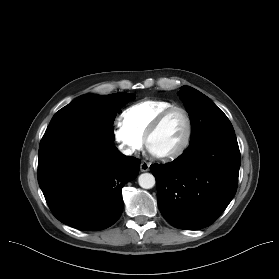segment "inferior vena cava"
<instances>
[{"label": "inferior vena cava", "instance_id": "obj_1", "mask_svg": "<svg viewBox=\"0 0 279 279\" xmlns=\"http://www.w3.org/2000/svg\"><path fill=\"white\" fill-rule=\"evenodd\" d=\"M121 152L125 155H131L133 153V151L129 148L122 149Z\"/></svg>", "mask_w": 279, "mask_h": 279}]
</instances>
